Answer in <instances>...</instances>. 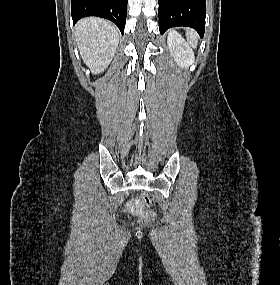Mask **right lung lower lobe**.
Segmentation results:
<instances>
[{
  "instance_id": "obj_1",
  "label": "right lung lower lobe",
  "mask_w": 280,
  "mask_h": 285,
  "mask_svg": "<svg viewBox=\"0 0 280 285\" xmlns=\"http://www.w3.org/2000/svg\"><path fill=\"white\" fill-rule=\"evenodd\" d=\"M127 1L128 0H72L71 14L73 24L86 16H98L114 22L121 33L124 34Z\"/></svg>"
}]
</instances>
